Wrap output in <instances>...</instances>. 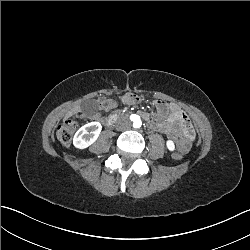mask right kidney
<instances>
[{
  "mask_svg": "<svg viewBox=\"0 0 250 250\" xmlns=\"http://www.w3.org/2000/svg\"><path fill=\"white\" fill-rule=\"evenodd\" d=\"M101 130L102 126L99 122L85 124L75 133L74 146L79 149L87 148L97 140Z\"/></svg>",
  "mask_w": 250,
  "mask_h": 250,
  "instance_id": "ca27d5eb",
  "label": "right kidney"
}]
</instances>
